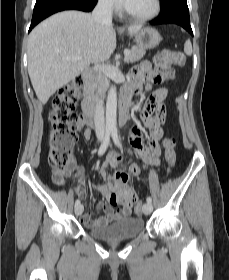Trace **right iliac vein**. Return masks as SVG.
Here are the masks:
<instances>
[{
	"label": "right iliac vein",
	"mask_w": 229,
	"mask_h": 280,
	"mask_svg": "<svg viewBox=\"0 0 229 280\" xmlns=\"http://www.w3.org/2000/svg\"><path fill=\"white\" fill-rule=\"evenodd\" d=\"M83 209H84V207H83V205H77V206H75V214L78 216V215H81L82 214V212H83Z\"/></svg>",
	"instance_id": "63e3f726"
}]
</instances>
